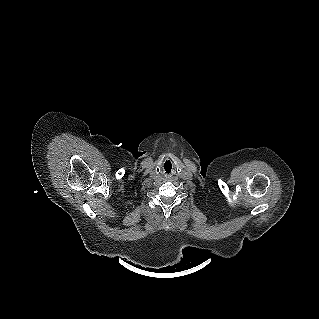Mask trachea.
I'll use <instances>...</instances> for the list:
<instances>
[{
	"label": "trachea",
	"mask_w": 319,
	"mask_h": 319,
	"mask_svg": "<svg viewBox=\"0 0 319 319\" xmlns=\"http://www.w3.org/2000/svg\"><path fill=\"white\" fill-rule=\"evenodd\" d=\"M163 169H164V171H165L167 174L171 173V171H172V169H173L172 163H171L170 161H166V162L164 163V165H163Z\"/></svg>",
	"instance_id": "1"
}]
</instances>
